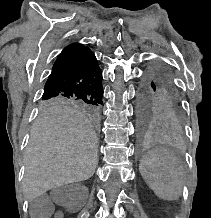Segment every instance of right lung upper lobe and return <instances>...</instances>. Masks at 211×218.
<instances>
[{
    "label": "right lung upper lobe",
    "instance_id": "obj_1",
    "mask_svg": "<svg viewBox=\"0 0 211 218\" xmlns=\"http://www.w3.org/2000/svg\"><path fill=\"white\" fill-rule=\"evenodd\" d=\"M89 50L88 47H85L83 45H80V44H71L67 47H65L63 49V51L58 55V58L59 57H62V56H65V55H68V54H72V53H75V52H79V51H87Z\"/></svg>",
    "mask_w": 211,
    "mask_h": 218
}]
</instances>
